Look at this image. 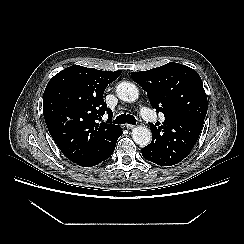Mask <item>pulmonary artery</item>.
Segmentation results:
<instances>
[{"instance_id": "pulmonary-artery-1", "label": "pulmonary artery", "mask_w": 244, "mask_h": 244, "mask_svg": "<svg viewBox=\"0 0 244 244\" xmlns=\"http://www.w3.org/2000/svg\"><path fill=\"white\" fill-rule=\"evenodd\" d=\"M141 115H142L143 118L146 119V120H152V118H153V116H152L150 110L147 109V108H145V107H143V108L141 109Z\"/></svg>"}]
</instances>
